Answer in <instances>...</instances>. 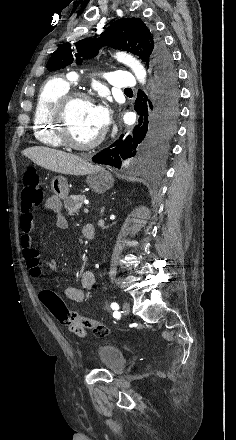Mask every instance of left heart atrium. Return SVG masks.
<instances>
[{
	"label": "left heart atrium",
	"instance_id": "left-heart-atrium-1",
	"mask_svg": "<svg viewBox=\"0 0 236 440\" xmlns=\"http://www.w3.org/2000/svg\"><path fill=\"white\" fill-rule=\"evenodd\" d=\"M93 119L100 129V131L104 130L109 122V113L108 109L104 105H94L93 106Z\"/></svg>",
	"mask_w": 236,
	"mask_h": 440
}]
</instances>
